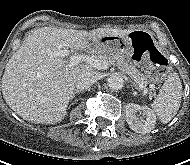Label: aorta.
I'll use <instances>...</instances> for the list:
<instances>
[{
    "instance_id": "obj_1",
    "label": "aorta",
    "mask_w": 190,
    "mask_h": 165,
    "mask_svg": "<svg viewBox=\"0 0 190 165\" xmlns=\"http://www.w3.org/2000/svg\"><path fill=\"white\" fill-rule=\"evenodd\" d=\"M124 79L121 76H111L108 78V86L112 89V90H120L124 87Z\"/></svg>"
}]
</instances>
